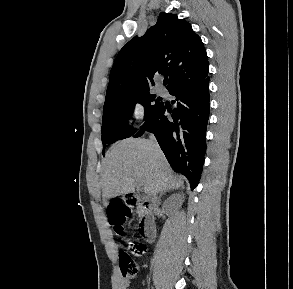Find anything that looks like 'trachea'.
Returning a JSON list of instances; mask_svg holds the SVG:
<instances>
[{"mask_svg": "<svg viewBox=\"0 0 293 289\" xmlns=\"http://www.w3.org/2000/svg\"><path fill=\"white\" fill-rule=\"evenodd\" d=\"M163 83H164V84H167V83H168V80L164 79V80H163Z\"/></svg>", "mask_w": 293, "mask_h": 289, "instance_id": "1", "label": "trachea"}]
</instances>
